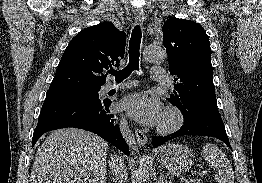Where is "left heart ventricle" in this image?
<instances>
[{
    "label": "left heart ventricle",
    "instance_id": "1",
    "mask_svg": "<svg viewBox=\"0 0 262 183\" xmlns=\"http://www.w3.org/2000/svg\"><path fill=\"white\" fill-rule=\"evenodd\" d=\"M171 121V117L169 115H163L160 123L168 124Z\"/></svg>",
    "mask_w": 262,
    "mask_h": 183
}]
</instances>
